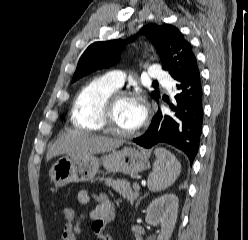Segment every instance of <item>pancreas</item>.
Listing matches in <instances>:
<instances>
[{
    "instance_id": "obj_1",
    "label": "pancreas",
    "mask_w": 248,
    "mask_h": 240,
    "mask_svg": "<svg viewBox=\"0 0 248 240\" xmlns=\"http://www.w3.org/2000/svg\"><path fill=\"white\" fill-rule=\"evenodd\" d=\"M100 181H104L107 186L112 187L116 192L122 195L123 198L130 201L131 204L139 195V189H136L134 186L131 188L130 184L124 181L115 180L112 177L102 178Z\"/></svg>"
}]
</instances>
